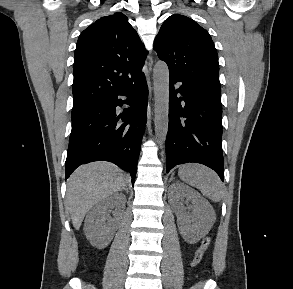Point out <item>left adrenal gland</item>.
Listing matches in <instances>:
<instances>
[{
  "instance_id": "a2214340",
  "label": "left adrenal gland",
  "mask_w": 293,
  "mask_h": 289,
  "mask_svg": "<svg viewBox=\"0 0 293 289\" xmlns=\"http://www.w3.org/2000/svg\"><path fill=\"white\" fill-rule=\"evenodd\" d=\"M173 178H174V175L172 174L169 182H171L173 180Z\"/></svg>"
}]
</instances>
